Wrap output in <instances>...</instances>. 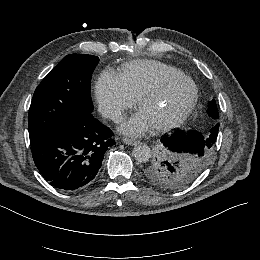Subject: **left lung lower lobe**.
I'll return each mask as SVG.
<instances>
[{"label":"left lung lower lobe","instance_id":"obj_1","mask_svg":"<svg viewBox=\"0 0 260 260\" xmlns=\"http://www.w3.org/2000/svg\"><path fill=\"white\" fill-rule=\"evenodd\" d=\"M219 124L215 125L207 135L197 131L178 130L164 136L161 142L176 154L195 155L202 154L208 148H212L216 142Z\"/></svg>","mask_w":260,"mask_h":260}]
</instances>
